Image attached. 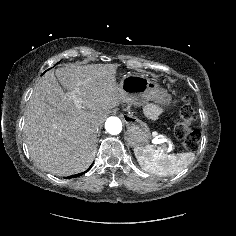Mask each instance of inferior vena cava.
Wrapping results in <instances>:
<instances>
[{"instance_id":"602c4592","label":"inferior vena cava","mask_w":236,"mask_h":236,"mask_svg":"<svg viewBox=\"0 0 236 236\" xmlns=\"http://www.w3.org/2000/svg\"><path fill=\"white\" fill-rule=\"evenodd\" d=\"M100 124L97 121H93L91 124V127L95 130H97L99 128Z\"/></svg>"}]
</instances>
